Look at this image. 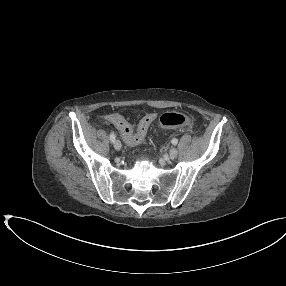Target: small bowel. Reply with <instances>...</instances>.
Segmentation results:
<instances>
[{
	"label": "small bowel",
	"mask_w": 286,
	"mask_h": 286,
	"mask_svg": "<svg viewBox=\"0 0 286 286\" xmlns=\"http://www.w3.org/2000/svg\"><path fill=\"white\" fill-rule=\"evenodd\" d=\"M155 119L156 114L150 113L144 116L140 120L139 124L143 121H148L149 125H151ZM105 121L113 124L120 132L123 140L129 144L128 141L133 137L134 129L133 126L122 115L118 113L109 114L105 117Z\"/></svg>",
	"instance_id": "c3829d8e"
}]
</instances>
